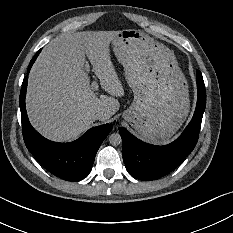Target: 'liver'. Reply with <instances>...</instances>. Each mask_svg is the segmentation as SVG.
Returning a JSON list of instances; mask_svg holds the SVG:
<instances>
[{
    "label": "liver",
    "instance_id": "1",
    "mask_svg": "<svg viewBox=\"0 0 233 233\" xmlns=\"http://www.w3.org/2000/svg\"><path fill=\"white\" fill-rule=\"evenodd\" d=\"M118 32H64L42 49L28 74L25 97L29 122L42 137L57 143L72 142L93 123L95 110L103 111L99 120L105 122L120 109L118 96L124 91L108 50ZM85 53L108 94L97 95L91 90Z\"/></svg>",
    "mask_w": 233,
    "mask_h": 233
}]
</instances>
